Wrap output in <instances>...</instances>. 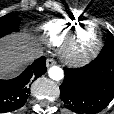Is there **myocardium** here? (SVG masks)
I'll list each match as a JSON object with an SVG mask.
<instances>
[{"label": "myocardium", "mask_w": 114, "mask_h": 114, "mask_svg": "<svg viewBox=\"0 0 114 114\" xmlns=\"http://www.w3.org/2000/svg\"><path fill=\"white\" fill-rule=\"evenodd\" d=\"M91 24L96 32V40L92 46L85 50L78 49L76 46V37L82 26ZM102 45V34L98 25L90 20L77 23L65 37L61 53L63 58L71 65H80L90 61L99 52Z\"/></svg>", "instance_id": "obj_1"}]
</instances>
